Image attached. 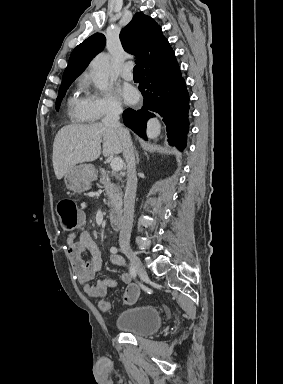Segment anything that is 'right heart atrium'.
I'll use <instances>...</instances> for the list:
<instances>
[{
    "instance_id": "right-heart-atrium-1",
    "label": "right heart atrium",
    "mask_w": 283,
    "mask_h": 384,
    "mask_svg": "<svg viewBox=\"0 0 283 384\" xmlns=\"http://www.w3.org/2000/svg\"><path fill=\"white\" fill-rule=\"evenodd\" d=\"M85 85L88 87L86 100L89 123L100 126L105 120L115 118L123 111L120 99L110 89L98 91L89 80H86Z\"/></svg>"
}]
</instances>
